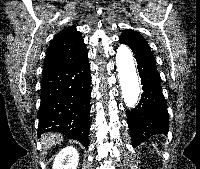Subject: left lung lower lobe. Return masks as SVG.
Returning a JSON list of instances; mask_svg holds the SVG:
<instances>
[{"instance_id": "1", "label": "left lung lower lobe", "mask_w": 200, "mask_h": 169, "mask_svg": "<svg viewBox=\"0 0 200 169\" xmlns=\"http://www.w3.org/2000/svg\"><path fill=\"white\" fill-rule=\"evenodd\" d=\"M121 43L126 44L122 39ZM143 93L135 109L127 111L132 144L138 145L153 135L167 134L168 112L156 61L147 54H135Z\"/></svg>"}]
</instances>
